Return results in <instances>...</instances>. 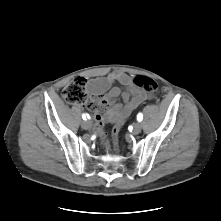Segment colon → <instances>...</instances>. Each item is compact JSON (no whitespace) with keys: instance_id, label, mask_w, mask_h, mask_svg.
Masks as SVG:
<instances>
[{"instance_id":"obj_1","label":"colon","mask_w":221,"mask_h":221,"mask_svg":"<svg viewBox=\"0 0 221 221\" xmlns=\"http://www.w3.org/2000/svg\"><path fill=\"white\" fill-rule=\"evenodd\" d=\"M134 83L138 87L144 88L147 91L156 90V82L147 76H136L134 78ZM87 81L84 78H77L68 84L63 91V98L66 102L70 104H83L86 103L88 107H91V103L87 102ZM103 123L100 122L97 126V131L106 147H108L107 141L105 139V134L102 129ZM122 124L116 123L112 129V136L115 143L118 141L119 133Z\"/></svg>"}]
</instances>
